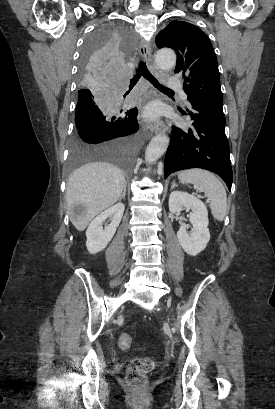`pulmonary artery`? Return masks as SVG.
Listing matches in <instances>:
<instances>
[{
    "instance_id": "obj_1",
    "label": "pulmonary artery",
    "mask_w": 275,
    "mask_h": 409,
    "mask_svg": "<svg viewBox=\"0 0 275 409\" xmlns=\"http://www.w3.org/2000/svg\"><path fill=\"white\" fill-rule=\"evenodd\" d=\"M180 74L179 73H174L172 79H167L166 81V86L167 88H179L180 87ZM183 99L186 101L187 105L189 103L187 102V95L183 94Z\"/></svg>"
}]
</instances>
